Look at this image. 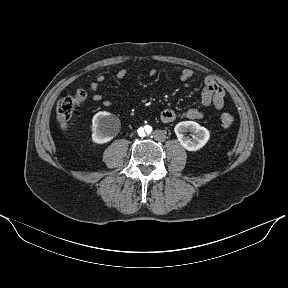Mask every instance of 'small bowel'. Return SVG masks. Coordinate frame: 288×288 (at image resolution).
Returning <instances> with one entry per match:
<instances>
[{"instance_id": "1", "label": "small bowel", "mask_w": 288, "mask_h": 288, "mask_svg": "<svg viewBox=\"0 0 288 288\" xmlns=\"http://www.w3.org/2000/svg\"><path fill=\"white\" fill-rule=\"evenodd\" d=\"M180 80L185 82L193 77V71L189 68H178ZM150 74H154V70H151ZM127 76V70L121 69L116 73V78L122 81ZM106 80L104 75H99L96 80L91 83L90 88L94 91L92 99L94 101L102 102L103 106L111 107L112 102L105 100L98 92L100 84ZM225 91L212 77H207L204 80V88L201 94V100L198 105L188 108L183 111H175L172 109H165L160 113V120L163 123H171L177 118H185L190 120H198L203 117V111L210 106L216 109H221L224 105Z\"/></svg>"}]
</instances>
